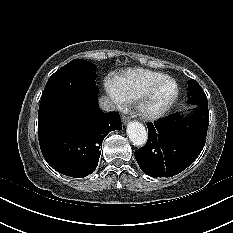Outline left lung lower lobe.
Instances as JSON below:
<instances>
[{
	"label": "left lung lower lobe",
	"instance_id": "left-lung-lower-lobe-1",
	"mask_svg": "<svg viewBox=\"0 0 233 233\" xmlns=\"http://www.w3.org/2000/svg\"><path fill=\"white\" fill-rule=\"evenodd\" d=\"M208 125L207 102L189 116L173 113L147 124L148 141L135 151L139 167L152 177H172L182 172L202 151Z\"/></svg>",
	"mask_w": 233,
	"mask_h": 233
}]
</instances>
